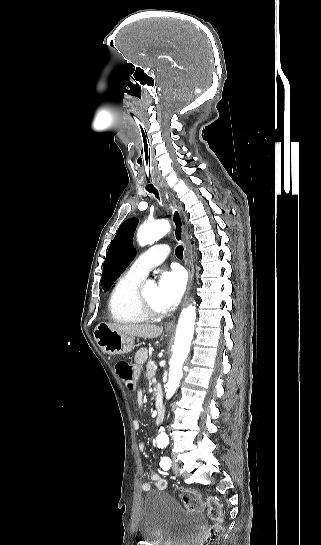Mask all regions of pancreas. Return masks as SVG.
Returning <instances> with one entry per match:
<instances>
[{
    "mask_svg": "<svg viewBox=\"0 0 321 545\" xmlns=\"http://www.w3.org/2000/svg\"><path fill=\"white\" fill-rule=\"evenodd\" d=\"M152 363H154V361H148L147 365H146V379H148V381H150V379H154L155 377V369H154V365H152Z\"/></svg>",
    "mask_w": 321,
    "mask_h": 545,
    "instance_id": "cf45deb5",
    "label": "pancreas"
}]
</instances>
